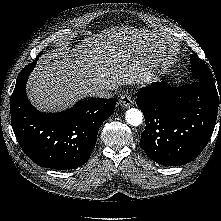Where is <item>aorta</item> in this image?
<instances>
[{"label": "aorta", "instance_id": "1", "mask_svg": "<svg viewBox=\"0 0 221 221\" xmlns=\"http://www.w3.org/2000/svg\"><path fill=\"white\" fill-rule=\"evenodd\" d=\"M125 118L128 124L139 126L143 122V114L139 109L131 108L126 111Z\"/></svg>", "mask_w": 221, "mask_h": 221}]
</instances>
